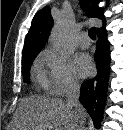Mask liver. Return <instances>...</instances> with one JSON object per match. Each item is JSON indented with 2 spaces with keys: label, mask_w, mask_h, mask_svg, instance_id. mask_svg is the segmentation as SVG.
I'll return each mask as SVG.
<instances>
[{
  "label": "liver",
  "mask_w": 123,
  "mask_h": 130,
  "mask_svg": "<svg viewBox=\"0 0 123 130\" xmlns=\"http://www.w3.org/2000/svg\"><path fill=\"white\" fill-rule=\"evenodd\" d=\"M87 112L81 107L78 130L85 124ZM74 113L60 98L32 95L20 100L9 130H73Z\"/></svg>",
  "instance_id": "6515ba94"
}]
</instances>
